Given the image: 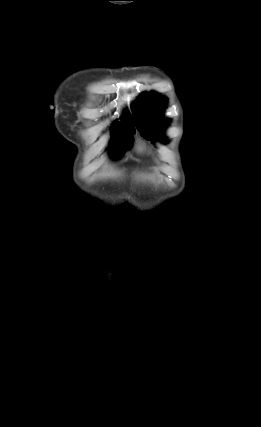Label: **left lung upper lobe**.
<instances>
[{
    "mask_svg": "<svg viewBox=\"0 0 261 427\" xmlns=\"http://www.w3.org/2000/svg\"><path fill=\"white\" fill-rule=\"evenodd\" d=\"M165 106L166 99L160 97L156 92H144L139 95L138 104L133 107V120L137 129L146 139L150 140L156 133L154 139L165 141L162 132L168 123V120L162 116Z\"/></svg>",
    "mask_w": 261,
    "mask_h": 427,
    "instance_id": "1",
    "label": "left lung upper lobe"
}]
</instances>
